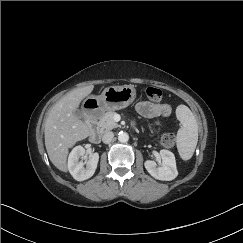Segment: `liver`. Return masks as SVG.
<instances>
[{"label": "liver", "instance_id": "obj_1", "mask_svg": "<svg viewBox=\"0 0 243 243\" xmlns=\"http://www.w3.org/2000/svg\"><path fill=\"white\" fill-rule=\"evenodd\" d=\"M93 89V85L74 89L49 111L44 130L45 146L50 161L60 171H67L69 148L91 133L90 127L75 115V111Z\"/></svg>", "mask_w": 243, "mask_h": 243}]
</instances>
